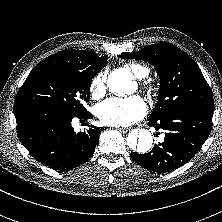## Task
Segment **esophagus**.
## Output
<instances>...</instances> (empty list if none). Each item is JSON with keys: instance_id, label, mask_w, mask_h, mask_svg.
Segmentation results:
<instances>
[{"instance_id": "1", "label": "esophagus", "mask_w": 222, "mask_h": 222, "mask_svg": "<svg viewBox=\"0 0 222 222\" xmlns=\"http://www.w3.org/2000/svg\"><path fill=\"white\" fill-rule=\"evenodd\" d=\"M120 131L123 133H126V132L130 131V128H120Z\"/></svg>"}]
</instances>
